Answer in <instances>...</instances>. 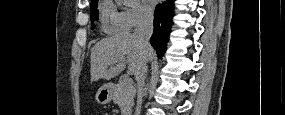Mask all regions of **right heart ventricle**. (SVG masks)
I'll list each match as a JSON object with an SVG mask.
<instances>
[{"instance_id":"1","label":"right heart ventricle","mask_w":285,"mask_h":115,"mask_svg":"<svg viewBox=\"0 0 285 115\" xmlns=\"http://www.w3.org/2000/svg\"><path fill=\"white\" fill-rule=\"evenodd\" d=\"M101 28L107 34H114L124 29L121 12L112 2H105L101 7Z\"/></svg>"}]
</instances>
